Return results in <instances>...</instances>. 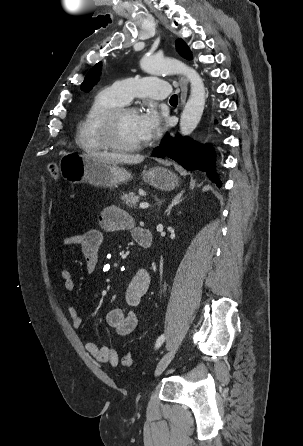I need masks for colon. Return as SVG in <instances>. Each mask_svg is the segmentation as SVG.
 Segmentation results:
<instances>
[{
  "instance_id": "colon-1",
  "label": "colon",
  "mask_w": 303,
  "mask_h": 446,
  "mask_svg": "<svg viewBox=\"0 0 303 446\" xmlns=\"http://www.w3.org/2000/svg\"><path fill=\"white\" fill-rule=\"evenodd\" d=\"M50 174L53 178L59 179L60 178V171L58 167L55 164L49 165ZM121 364L123 366H130L132 364V354L130 352H126L121 357Z\"/></svg>"
}]
</instances>
